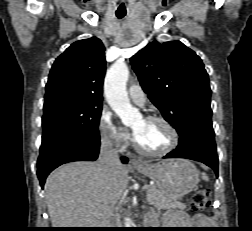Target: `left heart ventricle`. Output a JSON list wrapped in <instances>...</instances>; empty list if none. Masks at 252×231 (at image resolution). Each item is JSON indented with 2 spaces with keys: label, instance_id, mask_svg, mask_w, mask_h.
I'll return each mask as SVG.
<instances>
[{
  "label": "left heart ventricle",
  "instance_id": "left-heart-ventricle-1",
  "mask_svg": "<svg viewBox=\"0 0 252 231\" xmlns=\"http://www.w3.org/2000/svg\"><path fill=\"white\" fill-rule=\"evenodd\" d=\"M132 131L139 144L150 151H161L171 143V134L167 127L158 121L136 120Z\"/></svg>",
  "mask_w": 252,
  "mask_h": 231
}]
</instances>
